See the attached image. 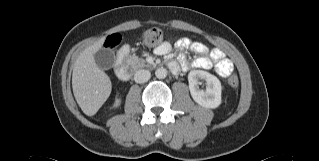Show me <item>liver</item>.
<instances>
[{
	"instance_id": "liver-1",
	"label": "liver",
	"mask_w": 319,
	"mask_h": 161,
	"mask_svg": "<svg viewBox=\"0 0 319 161\" xmlns=\"http://www.w3.org/2000/svg\"><path fill=\"white\" fill-rule=\"evenodd\" d=\"M102 37L80 53L74 63L72 88L81 110L93 116L110 96L112 84L109 76L95 63L94 54L104 43Z\"/></svg>"
}]
</instances>
